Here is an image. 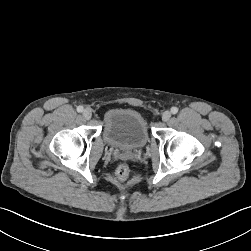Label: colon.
Returning a JSON list of instances; mask_svg holds the SVG:
<instances>
[{
	"label": "colon",
	"instance_id": "5ec220e1",
	"mask_svg": "<svg viewBox=\"0 0 251 251\" xmlns=\"http://www.w3.org/2000/svg\"><path fill=\"white\" fill-rule=\"evenodd\" d=\"M115 174L119 180L125 181L130 175V169H129L128 165L120 164L117 166V168L115 170Z\"/></svg>",
	"mask_w": 251,
	"mask_h": 251
}]
</instances>
